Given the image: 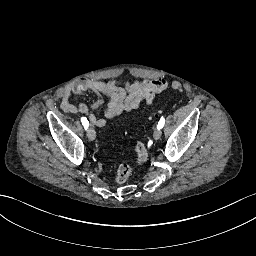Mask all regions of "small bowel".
Returning a JSON list of instances; mask_svg holds the SVG:
<instances>
[{
	"instance_id": "obj_1",
	"label": "small bowel",
	"mask_w": 256,
	"mask_h": 256,
	"mask_svg": "<svg viewBox=\"0 0 256 256\" xmlns=\"http://www.w3.org/2000/svg\"><path fill=\"white\" fill-rule=\"evenodd\" d=\"M166 88L165 81L161 79H145L142 81H99L95 79H82L65 86L58 96L60 106L65 113L82 114L90 117L91 122L102 128L107 121L116 118L124 112H129L142 104L151 105L155 96ZM89 91L96 96V101L89 107L85 103L74 105L70 101L72 94ZM109 99L104 111V118H96L94 111L102 106L104 98Z\"/></svg>"
}]
</instances>
